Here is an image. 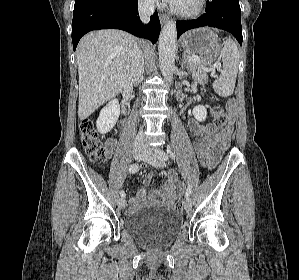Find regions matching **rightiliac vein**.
Masks as SVG:
<instances>
[{
  "label": "right iliac vein",
  "instance_id": "63e3f726",
  "mask_svg": "<svg viewBox=\"0 0 299 280\" xmlns=\"http://www.w3.org/2000/svg\"><path fill=\"white\" fill-rule=\"evenodd\" d=\"M133 155H134L135 159L141 160L145 155V150L140 148V147H137V148L134 149ZM126 205H127L126 200L124 199V197H121L118 200L119 208L124 209L126 207Z\"/></svg>",
  "mask_w": 299,
  "mask_h": 280
}]
</instances>
